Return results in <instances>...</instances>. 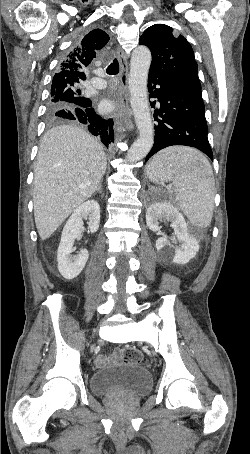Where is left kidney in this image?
<instances>
[{
	"mask_svg": "<svg viewBox=\"0 0 250 454\" xmlns=\"http://www.w3.org/2000/svg\"><path fill=\"white\" fill-rule=\"evenodd\" d=\"M163 220L171 223L173 236L160 237L156 241V249L164 257L172 259L173 263L186 264L199 251V242L190 231L184 216L177 207L167 201L151 204L146 211V223L150 230L156 232ZM179 242V246L173 243Z\"/></svg>",
	"mask_w": 250,
	"mask_h": 454,
	"instance_id": "obj_1",
	"label": "left kidney"
}]
</instances>
